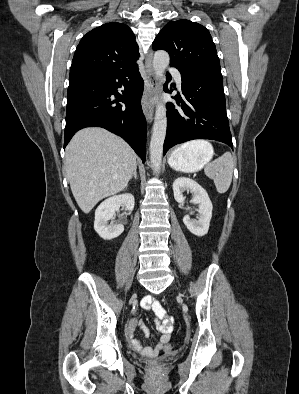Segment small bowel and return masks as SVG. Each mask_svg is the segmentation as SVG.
I'll list each match as a JSON object with an SVG mask.
<instances>
[{
  "label": "small bowel",
  "mask_w": 299,
  "mask_h": 394,
  "mask_svg": "<svg viewBox=\"0 0 299 394\" xmlns=\"http://www.w3.org/2000/svg\"><path fill=\"white\" fill-rule=\"evenodd\" d=\"M141 305L146 310H151L155 316V327L160 333V338L156 345L144 346L141 342L135 338V330L137 325L142 329L144 336H149V331L146 324L142 321L138 322L136 318H132L127 327V338L131 347L147 357H154L159 354L163 347L169 342L171 334L173 332V318L168 316L165 309L162 307L160 302L152 296H146L143 298Z\"/></svg>",
  "instance_id": "1"
}]
</instances>
